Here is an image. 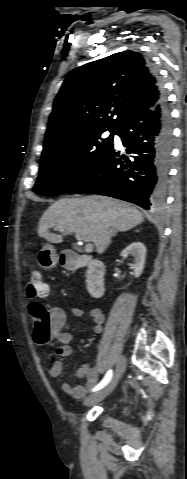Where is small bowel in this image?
I'll return each instance as SVG.
<instances>
[{"label": "small bowel", "mask_w": 187, "mask_h": 479, "mask_svg": "<svg viewBox=\"0 0 187 479\" xmlns=\"http://www.w3.org/2000/svg\"><path fill=\"white\" fill-rule=\"evenodd\" d=\"M31 311V309H29ZM70 312L75 317H82L84 315V311L79 307H71ZM51 323L48 333L51 332L54 340L57 343L56 346V354L60 357H69L73 353V349L70 345L72 340V335L65 331L64 325L66 323V313L60 307H52L49 310ZM90 318L93 323V331L95 333H99L102 330V325L104 322V314L100 308H93L90 310ZM41 335L44 332H40ZM63 369V365L60 361H54L51 366L49 367V375L52 378H57L61 375ZM86 379V385H73L71 381H66L61 384V391L64 395L70 398H82L86 395L88 390L93 388L99 381V372L96 368L92 367L91 364L85 363L78 369H76L70 379Z\"/></svg>", "instance_id": "obj_1"}]
</instances>
